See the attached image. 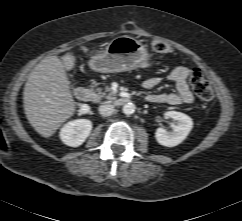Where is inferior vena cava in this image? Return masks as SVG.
I'll list each match as a JSON object with an SVG mask.
<instances>
[{
	"instance_id": "602c4592",
	"label": "inferior vena cava",
	"mask_w": 242,
	"mask_h": 221,
	"mask_svg": "<svg viewBox=\"0 0 242 221\" xmlns=\"http://www.w3.org/2000/svg\"><path fill=\"white\" fill-rule=\"evenodd\" d=\"M115 108L111 104H104L99 107V113L102 116H110L114 113Z\"/></svg>"
}]
</instances>
